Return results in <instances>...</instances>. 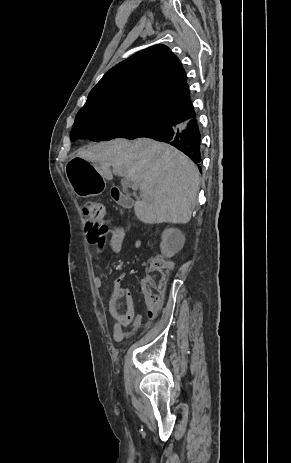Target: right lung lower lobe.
<instances>
[{
  "mask_svg": "<svg viewBox=\"0 0 291 463\" xmlns=\"http://www.w3.org/2000/svg\"><path fill=\"white\" fill-rule=\"evenodd\" d=\"M165 121L163 126L141 137L171 144L190 157L201 171V134L196 118L184 122L179 117H170Z\"/></svg>",
  "mask_w": 291,
  "mask_h": 463,
  "instance_id": "obj_1",
  "label": "right lung lower lobe"
}]
</instances>
